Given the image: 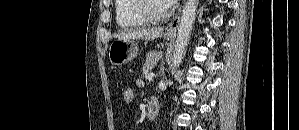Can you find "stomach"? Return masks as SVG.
Listing matches in <instances>:
<instances>
[{
	"mask_svg": "<svg viewBox=\"0 0 299 130\" xmlns=\"http://www.w3.org/2000/svg\"><path fill=\"white\" fill-rule=\"evenodd\" d=\"M174 34H164L166 40H170ZM138 54V46L132 39H116L109 47V60L113 65H123Z\"/></svg>",
	"mask_w": 299,
	"mask_h": 130,
	"instance_id": "stomach-1",
	"label": "stomach"
}]
</instances>
